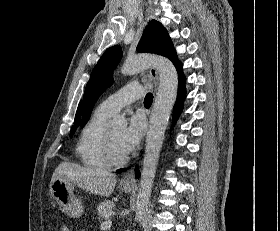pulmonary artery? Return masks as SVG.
Instances as JSON below:
<instances>
[{
    "label": "pulmonary artery",
    "instance_id": "1",
    "mask_svg": "<svg viewBox=\"0 0 280 231\" xmlns=\"http://www.w3.org/2000/svg\"><path fill=\"white\" fill-rule=\"evenodd\" d=\"M143 96L144 88L141 85L129 84L103 100L96 110L106 114H114Z\"/></svg>",
    "mask_w": 280,
    "mask_h": 231
}]
</instances>
